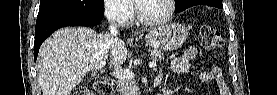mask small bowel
Segmentation results:
<instances>
[{
  "mask_svg": "<svg viewBox=\"0 0 277 95\" xmlns=\"http://www.w3.org/2000/svg\"><path fill=\"white\" fill-rule=\"evenodd\" d=\"M200 49L196 46L189 47L185 50V52L178 57H175L170 65L169 69L176 74H186L189 72L190 61L196 58L199 54ZM164 77L163 71H160L156 77L157 81H161ZM204 80H209L215 82L219 89V94L221 95H229V88L221 76V69L214 68L209 72L203 73Z\"/></svg>",
  "mask_w": 277,
  "mask_h": 95,
  "instance_id": "small-bowel-1",
  "label": "small bowel"
}]
</instances>
